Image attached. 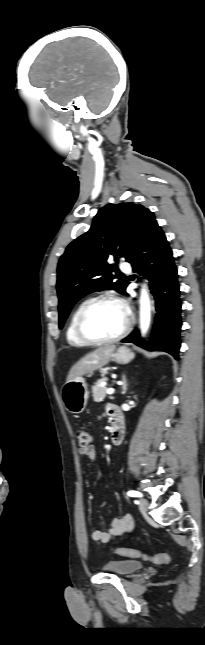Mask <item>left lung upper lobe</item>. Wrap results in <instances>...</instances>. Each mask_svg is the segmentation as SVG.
I'll return each instance as SVG.
<instances>
[{
    "label": "left lung upper lobe",
    "instance_id": "5c2ea615",
    "mask_svg": "<svg viewBox=\"0 0 205 645\" xmlns=\"http://www.w3.org/2000/svg\"><path fill=\"white\" fill-rule=\"evenodd\" d=\"M154 213L140 204H107L94 217L91 228L66 248L58 263L57 292L59 328L73 305L86 294L103 289L125 293L129 282H113L118 268L108 264L114 257L131 262L149 227Z\"/></svg>",
    "mask_w": 205,
    "mask_h": 645
}]
</instances>
